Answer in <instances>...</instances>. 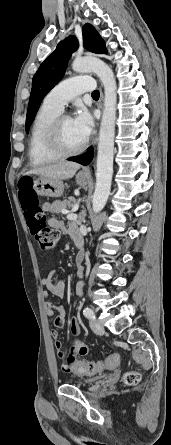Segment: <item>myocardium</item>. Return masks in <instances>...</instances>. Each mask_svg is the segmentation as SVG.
<instances>
[{
	"mask_svg": "<svg viewBox=\"0 0 171 445\" xmlns=\"http://www.w3.org/2000/svg\"><path fill=\"white\" fill-rule=\"evenodd\" d=\"M69 115L59 114L55 117L50 123L47 132H46V147L47 149L59 156V157H68L81 153L88 144V139H85L81 145L76 148H66L61 139V127L63 122L66 119H70Z\"/></svg>",
	"mask_w": 171,
	"mask_h": 445,
	"instance_id": "f54148a6",
	"label": "myocardium"
}]
</instances>
